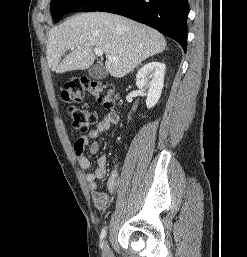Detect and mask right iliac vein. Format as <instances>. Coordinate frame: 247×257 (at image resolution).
Masks as SVG:
<instances>
[{
  "label": "right iliac vein",
  "instance_id": "1",
  "mask_svg": "<svg viewBox=\"0 0 247 257\" xmlns=\"http://www.w3.org/2000/svg\"><path fill=\"white\" fill-rule=\"evenodd\" d=\"M102 249H103L102 257H113L111 248H110L107 240L104 241Z\"/></svg>",
  "mask_w": 247,
  "mask_h": 257
}]
</instances>
